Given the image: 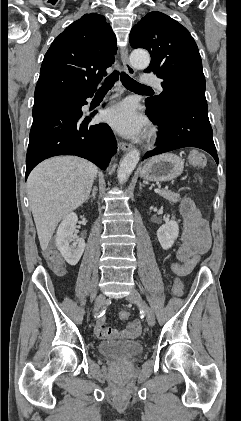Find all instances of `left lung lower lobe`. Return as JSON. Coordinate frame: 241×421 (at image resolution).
<instances>
[{
    "label": "left lung lower lobe",
    "mask_w": 241,
    "mask_h": 421,
    "mask_svg": "<svg viewBox=\"0 0 241 421\" xmlns=\"http://www.w3.org/2000/svg\"><path fill=\"white\" fill-rule=\"evenodd\" d=\"M146 114L160 132L158 147L147 152L143 160L183 147H196L207 151L218 164L205 94L190 92L176 99L164 112L148 105Z\"/></svg>",
    "instance_id": "0a47b994"
}]
</instances>
